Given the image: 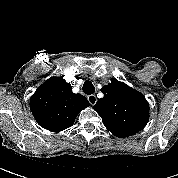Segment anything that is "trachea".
Masks as SVG:
<instances>
[{"label":"trachea","mask_w":178,"mask_h":178,"mask_svg":"<svg viewBox=\"0 0 178 178\" xmlns=\"http://www.w3.org/2000/svg\"><path fill=\"white\" fill-rule=\"evenodd\" d=\"M83 92L85 94L91 95L95 92V88L91 81H85L83 84Z\"/></svg>","instance_id":"trachea-1"}]
</instances>
